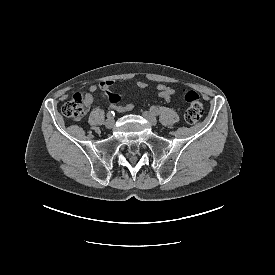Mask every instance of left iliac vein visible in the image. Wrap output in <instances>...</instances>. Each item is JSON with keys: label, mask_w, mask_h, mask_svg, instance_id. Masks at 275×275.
<instances>
[{"label": "left iliac vein", "mask_w": 275, "mask_h": 275, "mask_svg": "<svg viewBox=\"0 0 275 275\" xmlns=\"http://www.w3.org/2000/svg\"><path fill=\"white\" fill-rule=\"evenodd\" d=\"M143 116L146 120H148L151 125L156 126L157 125V119L154 117V115L148 111L143 112Z\"/></svg>", "instance_id": "4c4485c4"}]
</instances>
